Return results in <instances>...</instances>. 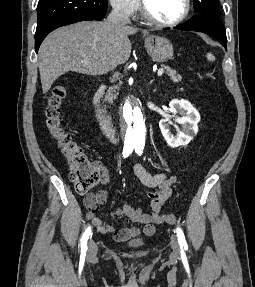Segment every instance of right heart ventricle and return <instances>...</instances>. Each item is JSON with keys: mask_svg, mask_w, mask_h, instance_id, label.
I'll use <instances>...</instances> for the list:
<instances>
[{"mask_svg": "<svg viewBox=\"0 0 255 287\" xmlns=\"http://www.w3.org/2000/svg\"><path fill=\"white\" fill-rule=\"evenodd\" d=\"M129 33H144V32H129ZM137 39H145V38H137ZM139 48H144V47H139ZM163 48H169V47H163Z\"/></svg>", "mask_w": 255, "mask_h": 287, "instance_id": "obj_1", "label": "right heart ventricle"}]
</instances>
